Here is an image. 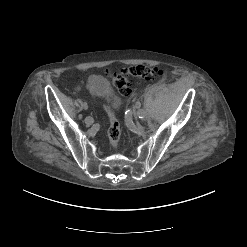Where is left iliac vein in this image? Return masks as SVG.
I'll use <instances>...</instances> for the list:
<instances>
[{"instance_id": "obj_1", "label": "left iliac vein", "mask_w": 247, "mask_h": 247, "mask_svg": "<svg viewBox=\"0 0 247 247\" xmlns=\"http://www.w3.org/2000/svg\"><path fill=\"white\" fill-rule=\"evenodd\" d=\"M133 115L135 116V117H137L138 116V113L137 112H133Z\"/></svg>"}]
</instances>
